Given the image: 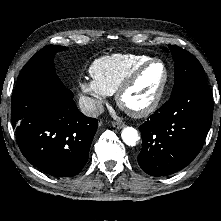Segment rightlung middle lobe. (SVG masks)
<instances>
[{"label": "right lung middle lobe", "mask_w": 221, "mask_h": 221, "mask_svg": "<svg viewBox=\"0 0 221 221\" xmlns=\"http://www.w3.org/2000/svg\"><path fill=\"white\" fill-rule=\"evenodd\" d=\"M66 49L58 45H48L38 51L22 68L12 99L37 87L63 86L56 75L53 59L57 52Z\"/></svg>", "instance_id": "right-lung-middle-lobe-1"}]
</instances>
